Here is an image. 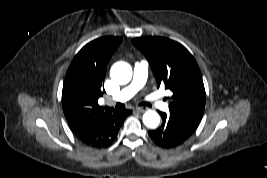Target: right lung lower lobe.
<instances>
[{"label":"right lung lower lobe","mask_w":267,"mask_h":178,"mask_svg":"<svg viewBox=\"0 0 267 178\" xmlns=\"http://www.w3.org/2000/svg\"><path fill=\"white\" fill-rule=\"evenodd\" d=\"M131 110L121 108L102 116L90 118L72 129L74 135L92 148H105L112 144L125 118Z\"/></svg>","instance_id":"98d812e1"}]
</instances>
